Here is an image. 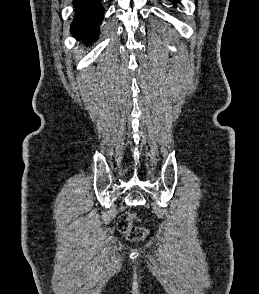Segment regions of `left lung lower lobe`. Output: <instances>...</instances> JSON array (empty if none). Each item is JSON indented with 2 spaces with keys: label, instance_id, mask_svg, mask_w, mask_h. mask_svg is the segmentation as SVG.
Here are the masks:
<instances>
[{
  "label": "left lung lower lobe",
  "instance_id": "0a47b994",
  "mask_svg": "<svg viewBox=\"0 0 259 294\" xmlns=\"http://www.w3.org/2000/svg\"><path fill=\"white\" fill-rule=\"evenodd\" d=\"M174 2H178V0H173Z\"/></svg>",
  "mask_w": 259,
  "mask_h": 294
}]
</instances>
